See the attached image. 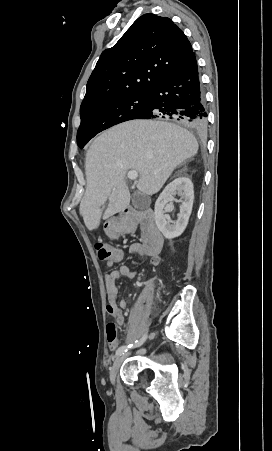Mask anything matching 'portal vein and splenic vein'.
Wrapping results in <instances>:
<instances>
[{"mask_svg":"<svg viewBox=\"0 0 272 451\" xmlns=\"http://www.w3.org/2000/svg\"><path fill=\"white\" fill-rule=\"evenodd\" d=\"M127 178H129V180H136V178H138V172H136V170H130L127 174Z\"/></svg>","mask_w":272,"mask_h":451,"instance_id":"1","label":"portal vein and splenic vein"}]
</instances>
